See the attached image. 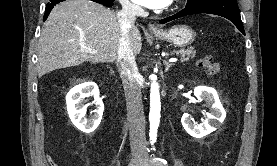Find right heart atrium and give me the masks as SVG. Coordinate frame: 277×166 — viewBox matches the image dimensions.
Listing matches in <instances>:
<instances>
[{
    "label": "right heart atrium",
    "instance_id": "obj_1",
    "mask_svg": "<svg viewBox=\"0 0 277 166\" xmlns=\"http://www.w3.org/2000/svg\"><path fill=\"white\" fill-rule=\"evenodd\" d=\"M124 10L129 12H137L138 6L134 3V0H118Z\"/></svg>",
    "mask_w": 277,
    "mask_h": 166
}]
</instances>
